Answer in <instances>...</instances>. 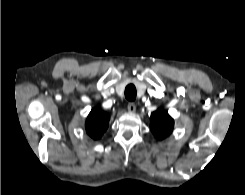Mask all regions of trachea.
Masks as SVG:
<instances>
[{"mask_svg": "<svg viewBox=\"0 0 245 195\" xmlns=\"http://www.w3.org/2000/svg\"><path fill=\"white\" fill-rule=\"evenodd\" d=\"M125 98L128 101H134L136 99V87L133 84H129L126 86Z\"/></svg>", "mask_w": 245, "mask_h": 195, "instance_id": "3493384b", "label": "trachea"}]
</instances>
